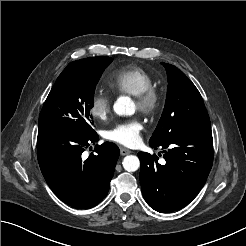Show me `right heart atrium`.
<instances>
[{
    "instance_id": "obj_1",
    "label": "right heart atrium",
    "mask_w": 246,
    "mask_h": 246,
    "mask_svg": "<svg viewBox=\"0 0 246 246\" xmlns=\"http://www.w3.org/2000/svg\"><path fill=\"white\" fill-rule=\"evenodd\" d=\"M111 98L108 94L98 92L93 95L89 111L91 116L97 120H106L111 113Z\"/></svg>"
}]
</instances>
